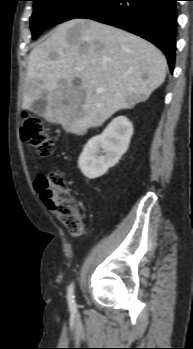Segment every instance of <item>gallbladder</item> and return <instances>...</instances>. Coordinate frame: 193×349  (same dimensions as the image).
Listing matches in <instances>:
<instances>
[{
  "instance_id": "gallbladder-1",
  "label": "gallbladder",
  "mask_w": 193,
  "mask_h": 349,
  "mask_svg": "<svg viewBox=\"0 0 193 349\" xmlns=\"http://www.w3.org/2000/svg\"><path fill=\"white\" fill-rule=\"evenodd\" d=\"M47 105V100L42 97L32 103V105L29 107V111L38 115L43 116L45 109Z\"/></svg>"
}]
</instances>
